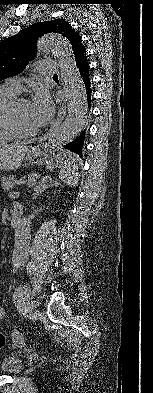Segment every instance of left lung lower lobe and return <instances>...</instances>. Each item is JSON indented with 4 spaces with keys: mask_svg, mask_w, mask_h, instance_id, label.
I'll list each match as a JSON object with an SVG mask.
<instances>
[{
    "mask_svg": "<svg viewBox=\"0 0 153 393\" xmlns=\"http://www.w3.org/2000/svg\"><path fill=\"white\" fill-rule=\"evenodd\" d=\"M75 61L83 81V87L86 92L88 104H89L91 89H90V80H89V65L86 59V51H84L82 54H79L76 57ZM83 140H84V134H81L75 141L65 145L64 148H67L81 155Z\"/></svg>",
    "mask_w": 153,
    "mask_h": 393,
    "instance_id": "obj_1",
    "label": "left lung lower lobe"
}]
</instances>
